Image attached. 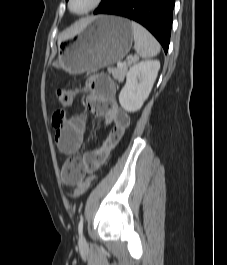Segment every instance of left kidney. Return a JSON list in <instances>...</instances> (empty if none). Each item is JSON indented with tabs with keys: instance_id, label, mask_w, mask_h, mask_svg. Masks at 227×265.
<instances>
[{
	"instance_id": "1",
	"label": "left kidney",
	"mask_w": 227,
	"mask_h": 265,
	"mask_svg": "<svg viewBox=\"0 0 227 265\" xmlns=\"http://www.w3.org/2000/svg\"><path fill=\"white\" fill-rule=\"evenodd\" d=\"M160 62L157 60L141 61L133 65L126 77V84L119 94L121 107L127 112L141 109L148 98L156 80Z\"/></svg>"
}]
</instances>
